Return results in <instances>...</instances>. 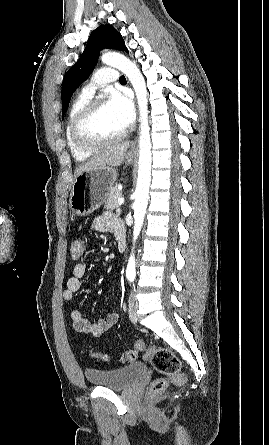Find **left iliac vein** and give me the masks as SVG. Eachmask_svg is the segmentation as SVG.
Wrapping results in <instances>:
<instances>
[{"mask_svg": "<svg viewBox=\"0 0 269 445\" xmlns=\"http://www.w3.org/2000/svg\"><path fill=\"white\" fill-rule=\"evenodd\" d=\"M137 310H138V300L136 298L135 291L133 290L129 297L128 314L130 320L134 323L137 321L138 318Z\"/></svg>", "mask_w": 269, "mask_h": 445, "instance_id": "obj_1", "label": "left iliac vein"}]
</instances>
